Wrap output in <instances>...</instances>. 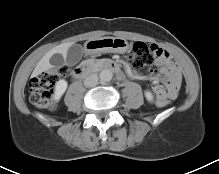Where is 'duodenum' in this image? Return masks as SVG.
I'll return each mask as SVG.
<instances>
[{
	"label": "duodenum",
	"instance_id": "410a0bca",
	"mask_svg": "<svg viewBox=\"0 0 219 174\" xmlns=\"http://www.w3.org/2000/svg\"><path fill=\"white\" fill-rule=\"evenodd\" d=\"M98 70H110L116 74H121V68L112 60H103L96 63L84 64L75 68L72 74L75 78H83Z\"/></svg>",
	"mask_w": 219,
	"mask_h": 174
}]
</instances>
